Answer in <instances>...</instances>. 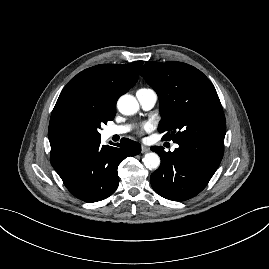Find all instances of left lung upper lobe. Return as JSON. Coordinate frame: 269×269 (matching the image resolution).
<instances>
[{
	"instance_id": "left-lung-upper-lobe-1",
	"label": "left lung upper lobe",
	"mask_w": 269,
	"mask_h": 269,
	"mask_svg": "<svg viewBox=\"0 0 269 269\" xmlns=\"http://www.w3.org/2000/svg\"><path fill=\"white\" fill-rule=\"evenodd\" d=\"M141 76L158 94V131L164 139L224 140L226 121L219 97L201 71L181 62H147Z\"/></svg>"
}]
</instances>
